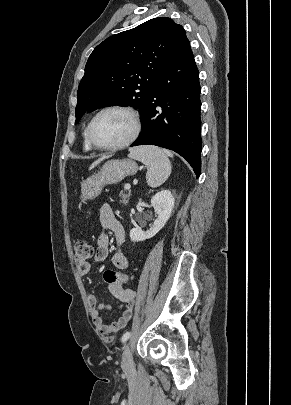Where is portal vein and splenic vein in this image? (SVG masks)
I'll return each instance as SVG.
<instances>
[{
    "mask_svg": "<svg viewBox=\"0 0 291 405\" xmlns=\"http://www.w3.org/2000/svg\"><path fill=\"white\" fill-rule=\"evenodd\" d=\"M130 188H131V185H130V184H126V185H125V189L130 190Z\"/></svg>",
    "mask_w": 291,
    "mask_h": 405,
    "instance_id": "portal-vein-and-splenic-vein-1",
    "label": "portal vein and splenic vein"
}]
</instances>
